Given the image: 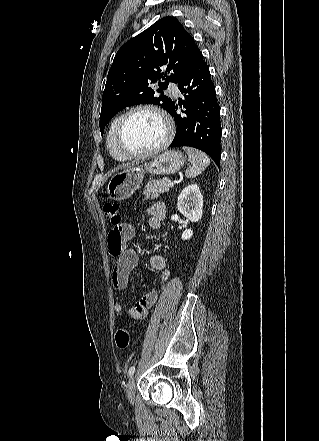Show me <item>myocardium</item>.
<instances>
[{
  "label": "myocardium",
  "instance_id": "obj_1",
  "mask_svg": "<svg viewBox=\"0 0 319 441\" xmlns=\"http://www.w3.org/2000/svg\"><path fill=\"white\" fill-rule=\"evenodd\" d=\"M140 111H149V112L156 114L162 120V122L164 124L165 136L160 144H158L156 147H154L150 150L143 151V152H132V151H129L128 149H126L124 147V145L122 144L121 134H122L123 127H124L126 121L128 120V118L132 114H134L136 112H140ZM173 136H174V125H173V122H172L170 116L166 113V111H164L162 108H160L156 105H153V104H141V105H136V106L130 108L121 116V118L119 119V121L117 123L116 130H115V143H116L118 150L127 158H146V157H150V156L159 154L163 150H165L167 148V146L170 144Z\"/></svg>",
  "mask_w": 319,
  "mask_h": 441
}]
</instances>
